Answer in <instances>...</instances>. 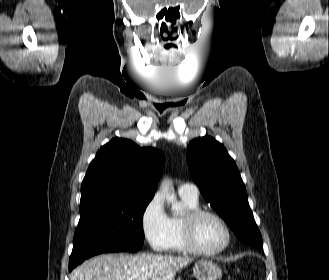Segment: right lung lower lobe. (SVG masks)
<instances>
[{
  "instance_id": "right-lung-lower-lobe-1",
  "label": "right lung lower lobe",
  "mask_w": 329,
  "mask_h": 280,
  "mask_svg": "<svg viewBox=\"0 0 329 280\" xmlns=\"http://www.w3.org/2000/svg\"><path fill=\"white\" fill-rule=\"evenodd\" d=\"M109 252H123L121 250L118 249H114V248H103V249H99L96 250L92 253L87 254L85 257H83L81 260H79L78 262H76L73 266L69 267V271H71L73 268H75L78 264H80L81 262H83L84 260L94 256V255H98V254H102V253H109Z\"/></svg>"
}]
</instances>
